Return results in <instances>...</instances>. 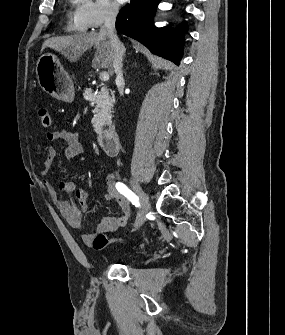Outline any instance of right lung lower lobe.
<instances>
[{"instance_id":"obj_1","label":"right lung lower lobe","mask_w":285,"mask_h":335,"mask_svg":"<svg viewBox=\"0 0 285 335\" xmlns=\"http://www.w3.org/2000/svg\"><path fill=\"white\" fill-rule=\"evenodd\" d=\"M160 0H131L118 14L117 30L144 44L153 53L165 57L176 64L182 57L183 33L187 31L186 24L172 33L153 25V16Z\"/></svg>"}]
</instances>
